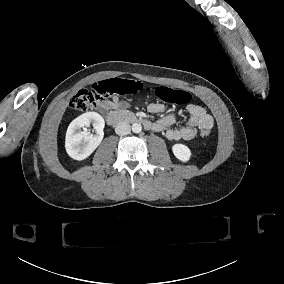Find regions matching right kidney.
Masks as SVG:
<instances>
[{"label": "right kidney", "instance_id": "right-kidney-1", "mask_svg": "<svg viewBox=\"0 0 284 284\" xmlns=\"http://www.w3.org/2000/svg\"><path fill=\"white\" fill-rule=\"evenodd\" d=\"M93 125L96 134H90L85 128ZM84 128V131H82ZM103 118L94 112L82 114L71 122L66 133V152L77 161L88 158L100 145L103 139Z\"/></svg>", "mask_w": 284, "mask_h": 284}]
</instances>
